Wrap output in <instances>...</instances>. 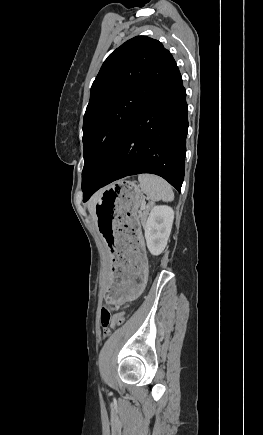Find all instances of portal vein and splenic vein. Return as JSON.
I'll return each mask as SVG.
<instances>
[{
    "instance_id": "obj_1",
    "label": "portal vein and splenic vein",
    "mask_w": 263,
    "mask_h": 435,
    "mask_svg": "<svg viewBox=\"0 0 263 435\" xmlns=\"http://www.w3.org/2000/svg\"><path fill=\"white\" fill-rule=\"evenodd\" d=\"M140 209L143 211L145 209V204H142Z\"/></svg>"
}]
</instances>
